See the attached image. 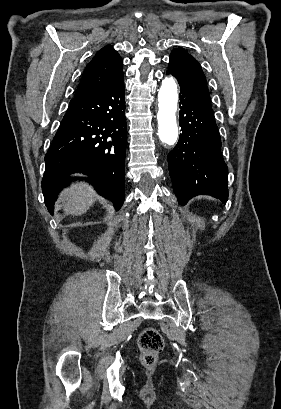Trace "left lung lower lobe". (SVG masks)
Returning <instances> with one entry per match:
<instances>
[{
	"mask_svg": "<svg viewBox=\"0 0 281 409\" xmlns=\"http://www.w3.org/2000/svg\"><path fill=\"white\" fill-rule=\"evenodd\" d=\"M179 108L182 133L168 154L169 173L178 202L185 205L192 197L207 194L225 203L228 170L211 102L180 85Z\"/></svg>",
	"mask_w": 281,
	"mask_h": 409,
	"instance_id": "left-lung-lower-lobe-1",
	"label": "left lung lower lobe"
}]
</instances>
